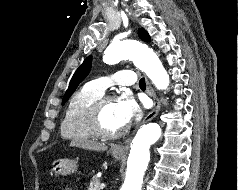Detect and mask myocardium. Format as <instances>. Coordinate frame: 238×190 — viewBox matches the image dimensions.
Listing matches in <instances>:
<instances>
[{
    "instance_id": "obj_1",
    "label": "myocardium",
    "mask_w": 238,
    "mask_h": 190,
    "mask_svg": "<svg viewBox=\"0 0 238 190\" xmlns=\"http://www.w3.org/2000/svg\"><path fill=\"white\" fill-rule=\"evenodd\" d=\"M114 100H117V96L115 95L101 96L91 104L86 112V125L96 137L114 139L124 135L129 129V124H126L122 128L115 131L108 130L104 127L102 122L104 107L108 102Z\"/></svg>"
}]
</instances>
